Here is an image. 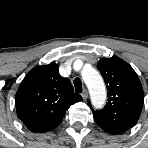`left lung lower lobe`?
Instances as JSON below:
<instances>
[{
    "label": "left lung lower lobe",
    "mask_w": 148,
    "mask_h": 148,
    "mask_svg": "<svg viewBox=\"0 0 148 148\" xmlns=\"http://www.w3.org/2000/svg\"><path fill=\"white\" fill-rule=\"evenodd\" d=\"M105 131L108 132V133H111V134H120V133H117V132L112 131V130H110V129H106Z\"/></svg>",
    "instance_id": "0a47b994"
}]
</instances>
